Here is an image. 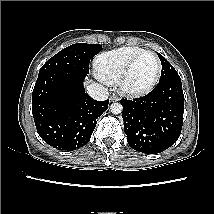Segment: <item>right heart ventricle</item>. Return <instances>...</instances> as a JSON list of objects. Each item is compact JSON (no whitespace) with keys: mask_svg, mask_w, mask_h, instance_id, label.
Wrapping results in <instances>:
<instances>
[{"mask_svg":"<svg viewBox=\"0 0 214 214\" xmlns=\"http://www.w3.org/2000/svg\"><path fill=\"white\" fill-rule=\"evenodd\" d=\"M144 50L137 46H127L102 53L94 63L97 75L107 83L118 82L131 59Z\"/></svg>","mask_w":214,"mask_h":214,"instance_id":"1","label":"right heart ventricle"}]
</instances>
